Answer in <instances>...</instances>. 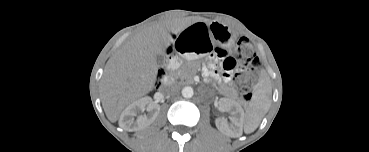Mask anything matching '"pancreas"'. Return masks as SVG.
<instances>
[{
	"label": "pancreas",
	"mask_w": 369,
	"mask_h": 152,
	"mask_svg": "<svg viewBox=\"0 0 369 152\" xmlns=\"http://www.w3.org/2000/svg\"><path fill=\"white\" fill-rule=\"evenodd\" d=\"M182 77L189 80L190 79V71L188 70ZM225 94L227 95V97H229L230 100L236 99V97H237V92L232 87L227 88V91H226Z\"/></svg>",
	"instance_id": "1"
}]
</instances>
